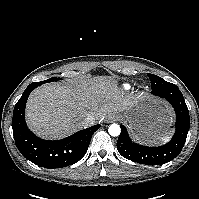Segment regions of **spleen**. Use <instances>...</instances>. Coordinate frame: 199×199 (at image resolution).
<instances>
[{
    "label": "spleen",
    "instance_id": "3e777b00",
    "mask_svg": "<svg viewBox=\"0 0 199 199\" xmlns=\"http://www.w3.org/2000/svg\"><path fill=\"white\" fill-rule=\"evenodd\" d=\"M159 139H161L162 141H167L169 137L168 135H162L161 137H159Z\"/></svg>",
    "mask_w": 199,
    "mask_h": 199
}]
</instances>
